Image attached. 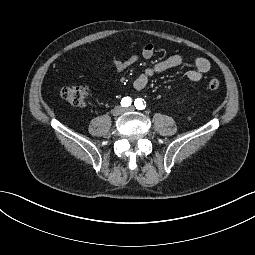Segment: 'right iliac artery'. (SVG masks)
I'll return each mask as SVG.
<instances>
[{
  "label": "right iliac artery",
  "instance_id": "right-iliac-artery-1",
  "mask_svg": "<svg viewBox=\"0 0 255 255\" xmlns=\"http://www.w3.org/2000/svg\"><path fill=\"white\" fill-rule=\"evenodd\" d=\"M131 98L129 97H124L122 100H121V105L122 107H128L131 105Z\"/></svg>",
  "mask_w": 255,
  "mask_h": 255
}]
</instances>
